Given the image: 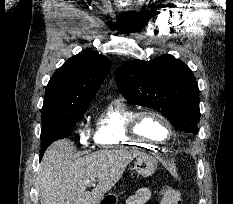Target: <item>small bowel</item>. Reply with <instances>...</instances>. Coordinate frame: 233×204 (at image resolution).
Wrapping results in <instances>:
<instances>
[{"mask_svg": "<svg viewBox=\"0 0 233 204\" xmlns=\"http://www.w3.org/2000/svg\"><path fill=\"white\" fill-rule=\"evenodd\" d=\"M150 196V189L147 187H142L128 198L126 204H145L150 199Z\"/></svg>", "mask_w": 233, "mask_h": 204, "instance_id": "obj_1", "label": "small bowel"}]
</instances>
